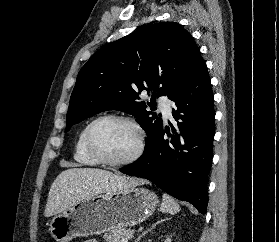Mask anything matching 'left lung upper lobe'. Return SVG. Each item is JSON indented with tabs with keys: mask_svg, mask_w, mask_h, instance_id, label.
<instances>
[{
	"mask_svg": "<svg viewBox=\"0 0 279 242\" xmlns=\"http://www.w3.org/2000/svg\"><path fill=\"white\" fill-rule=\"evenodd\" d=\"M199 52L191 34L175 22L141 28L96 51L81 68L71 94L66 131L106 110L130 113L148 135L144 152L162 127L152 109L155 95L172 100ZM153 93L151 103L141 92Z\"/></svg>",
	"mask_w": 279,
	"mask_h": 242,
	"instance_id": "5c2ea615",
	"label": "left lung upper lobe"
}]
</instances>
